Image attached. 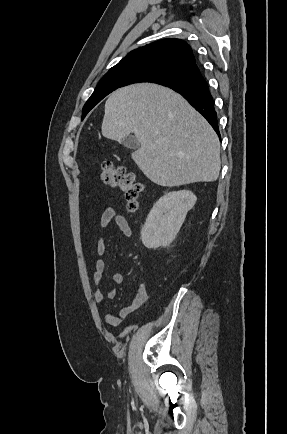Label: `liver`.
Masks as SVG:
<instances>
[{"label":"liver","instance_id":"1","mask_svg":"<svg viewBox=\"0 0 287 434\" xmlns=\"http://www.w3.org/2000/svg\"><path fill=\"white\" fill-rule=\"evenodd\" d=\"M135 134L132 158L153 183L174 187L216 181L220 142L204 117L180 94L155 84H136L110 94L102 135L118 141Z\"/></svg>","mask_w":287,"mask_h":434}]
</instances>
